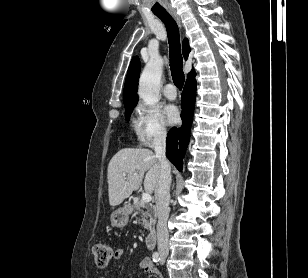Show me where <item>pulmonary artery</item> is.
<instances>
[{"mask_svg":"<svg viewBox=\"0 0 308 278\" xmlns=\"http://www.w3.org/2000/svg\"><path fill=\"white\" fill-rule=\"evenodd\" d=\"M164 96L169 100H174L177 96L176 88L173 84H167L163 89Z\"/></svg>","mask_w":308,"mask_h":278,"instance_id":"obj_1","label":"pulmonary artery"}]
</instances>
